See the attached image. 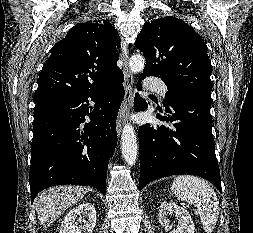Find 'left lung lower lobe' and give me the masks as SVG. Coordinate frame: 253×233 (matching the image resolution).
I'll return each instance as SVG.
<instances>
[{"label":"left lung lower lobe","instance_id":"obj_1","mask_svg":"<svg viewBox=\"0 0 253 233\" xmlns=\"http://www.w3.org/2000/svg\"><path fill=\"white\" fill-rule=\"evenodd\" d=\"M141 75L137 89L141 90ZM211 99L203 96L182 98L157 114L169 125L146 124L139 127V190L149 182L166 176L193 174L213 183L222 192L220 171L212 135ZM148 103L138 95L134 110L144 111Z\"/></svg>","mask_w":253,"mask_h":233}]
</instances>
